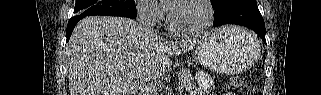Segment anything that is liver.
Segmentation results:
<instances>
[{
  "mask_svg": "<svg viewBox=\"0 0 321 95\" xmlns=\"http://www.w3.org/2000/svg\"><path fill=\"white\" fill-rule=\"evenodd\" d=\"M198 43L168 42L128 18H83L66 48L70 95H135L171 68L173 55Z\"/></svg>",
  "mask_w": 321,
  "mask_h": 95,
  "instance_id": "obj_1",
  "label": "liver"
}]
</instances>
